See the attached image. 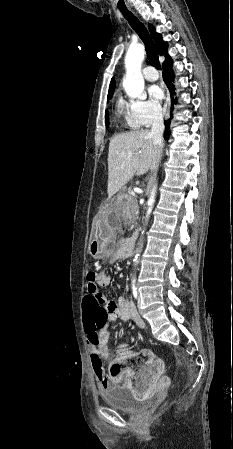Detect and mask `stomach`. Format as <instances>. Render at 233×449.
Masks as SVG:
<instances>
[{"mask_svg": "<svg viewBox=\"0 0 233 449\" xmlns=\"http://www.w3.org/2000/svg\"><path fill=\"white\" fill-rule=\"evenodd\" d=\"M121 195L115 196L111 201H99V210L96 214V235L89 246L90 254L95 258H113L117 246L116 240L112 236L113 227L118 226L121 214L117 210L121 209V202L118 201Z\"/></svg>", "mask_w": 233, "mask_h": 449, "instance_id": "stomach-1", "label": "stomach"}]
</instances>
